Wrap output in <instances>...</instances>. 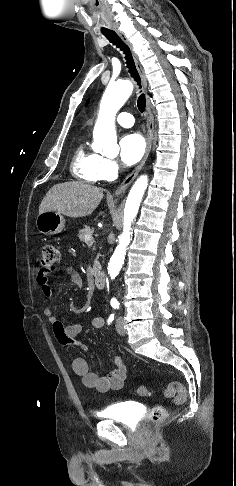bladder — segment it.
Masks as SVG:
<instances>
[{"instance_id": "bladder-1", "label": "bladder", "mask_w": 236, "mask_h": 486, "mask_svg": "<svg viewBox=\"0 0 236 486\" xmlns=\"http://www.w3.org/2000/svg\"><path fill=\"white\" fill-rule=\"evenodd\" d=\"M139 407L135 403H117L98 412L102 418L111 419L125 425H132L136 421Z\"/></svg>"}]
</instances>
